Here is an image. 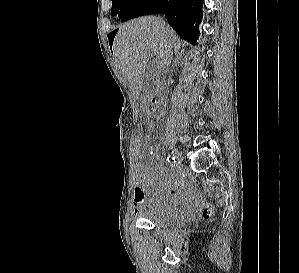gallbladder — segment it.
<instances>
[{"mask_svg":"<svg viewBox=\"0 0 299 273\" xmlns=\"http://www.w3.org/2000/svg\"><path fill=\"white\" fill-rule=\"evenodd\" d=\"M145 77L148 79L150 76H153L156 74V63L154 61L150 62L147 67L145 68ZM145 89L148 91H151L152 89V83L151 81L147 80L145 82Z\"/></svg>","mask_w":299,"mask_h":273,"instance_id":"bac80fb5","label":"gallbladder"}]
</instances>
